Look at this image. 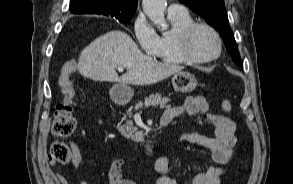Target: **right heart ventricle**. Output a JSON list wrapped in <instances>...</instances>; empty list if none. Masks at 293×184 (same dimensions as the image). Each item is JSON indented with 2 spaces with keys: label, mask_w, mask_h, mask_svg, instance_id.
I'll use <instances>...</instances> for the list:
<instances>
[{
  "label": "right heart ventricle",
  "mask_w": 293,
  "mask_h": 184,
  "mask_svg": "<svg viewBox=\"0 0 293 184\" xmlns=\"http://www.w3.org/2000/svg\"><path fill=\"white\" fill-rule=\"evenodd\" d=\"M171 29L159 36L158 46L154 57L167 64H183L186 61L180 56L177 50V36L179 32L194 22L189 13L179 15H168Z\"/></svg>",
  "instance_id": "obj_1"
}]
</instances>
